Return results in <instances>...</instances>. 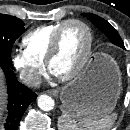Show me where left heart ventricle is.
<instances>
[{
	"mask_svg": "<svg viewBox=\"0 0 130 130\" xmlns=\"http://www.w3.org/2000/svg\"><path fill=\"white\" fill-rule=\"evenodd\" d=\"M87 33L78 24L65 27L60 38V48L51 63V71L56 76L69 74L80 62L87 46Z\"/></svg>",
	"mask_w": 130,
	"mask_h": 130,
	"instance_id": "1",
	"label": "left heart ventricle"
}]
</instances>
